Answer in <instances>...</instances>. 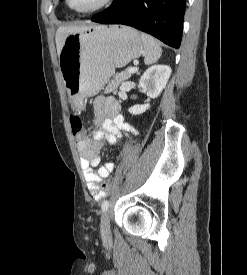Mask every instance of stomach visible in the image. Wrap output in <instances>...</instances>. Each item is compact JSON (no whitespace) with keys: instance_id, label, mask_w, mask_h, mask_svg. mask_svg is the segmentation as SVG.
Segmentation results:
<instances>
[{"instance_id":"obj_1","label":"stomach","mask_w":247,"mask_h":275,"mask_svg":"<svg viewBox=\"0 0 247 275\" xmlns=\"http://www.w3.org/2000/svg\"><path fill=\"white\" fill-rule=\"evenodd\" d=\"M143 51L139 33L126 26H98L68 35L59 66L72 108L81 110L84 99L99 93L115 68L126 66Z\"/></svg>"}]
</instances>
